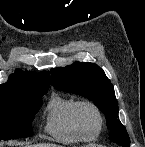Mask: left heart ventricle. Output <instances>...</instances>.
I'll return each mask as SVG.
<instances>
[{
    "mask_svg": "<svg viewBox=\"0 0 145 147\" xmlns=\"http://www.w3.org/2000/svg\"><path fill=\"white\" fill-rule=\"evenodd\" d=\"M85 119H86L87 125L89 127V131L94 132L96 129V118H95L94 114L91 112H86Z\"/></svg>",
    "mask_w": 145,
    "mask_h": 147,
    "instance_id": "1",
    "label": "left heart ventricle"
}]
</instances>
